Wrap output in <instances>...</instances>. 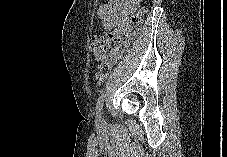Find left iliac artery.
Returning a JSON list of instances; mask_svg holds the SVG:
<instances>
[{"label":"left iliac artery","instance_id":"left-iliac-artery-1","mask_svg":"<svg viewBox=\"0 0 227 157\" xmlns=\"http://www.w3.org/2000/svg\"><path fill=\"white\" fill-rule=\"evenodd\" d=\"M103 101H104V94H101L96 103V114L99 120L101 119Z\"/></svg>","mask_w":227,"mask_h":157}]
</instances>
